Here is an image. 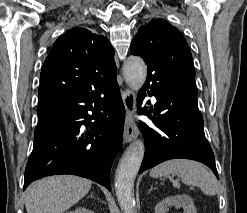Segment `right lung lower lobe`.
Listing matches in <instances>:
<instances>
[{
	"instance_id": "98d812e1",
	"label": "right lung lower lobe",
	"mask_w": 247,
	"mask_h": 213,
	"mask_svg": "<svg viewBox=\"0 0 247 213\" xmlns=\"http://www.w3.org/2000/svg\"><path fill=\"white\" fill-rule=\"evenodd\" d=\"M37 113L24 190L34 180L57 174L86 177L111 190L110 169L125 119L116 77L92 89L57 94L39 103Z\"/></svg>"
}]
</instances>
